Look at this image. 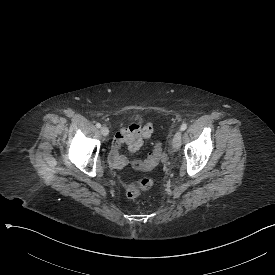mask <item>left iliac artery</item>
I'll return each instance as SVG.
<instances>
[{
    "mask_svg": "<svg viewBox=\"0 0 275 275\" xmlns=\"http://www.w3.org/2000/svg\"><path fill=\"white\" fill-rule=\"evenodd\" d=\"M186 128H187V124H186V123H183V124L181 125V127H180V130H181V131H184V130H186Z\"/></svg>",
    "mask_w": 275,
    "mask_h": 275,
    "instance_id": "left-iliac-artery-1",
    "label": "left iliac artery"
}]
</instances>
